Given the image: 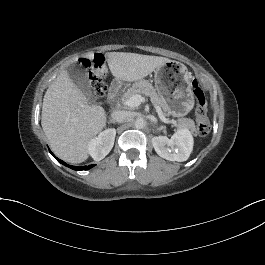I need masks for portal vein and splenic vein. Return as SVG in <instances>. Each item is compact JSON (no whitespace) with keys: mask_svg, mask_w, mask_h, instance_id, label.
Segmentation results:
<instances>
[{"mask_svg":"<svg viewBox=\"0 0 265 265\" xmlns=\"http://www.w3.org/2000/svg\"><path fill=\"white\" fill-rule=\"evenodd\" d=\"M145 101H146L145 97H142L141 95L136 94L127 100H123L121 103H122V105H124L126 107L135 108V107L139 106L141 103H144ZM152 105H153L154 109L156 110V112L158 113L160 120L163 123L177 125V123L174 120H169L164 116L159 105H157L156 103H152Z\"/></svg>","mask_w":265,"mask_h":265,"instance_id":"1","label":"portal vein and splenic vein"}]
</instances>
